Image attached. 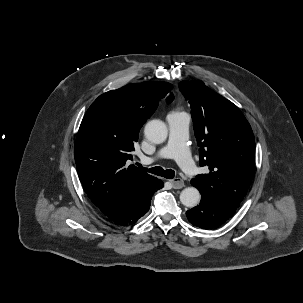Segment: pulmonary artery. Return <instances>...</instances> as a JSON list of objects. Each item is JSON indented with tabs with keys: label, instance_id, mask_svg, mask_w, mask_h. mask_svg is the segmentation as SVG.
<instances>
[{
	"label": "pulmonary artery",
	"instance_id": "e3ab8cb5",
	"mask_svg": "<svg viewBox=\"0 0 303 303\" xmlns=\"http://www.w3.org/2000/svg\"><path fill=\"white\" fill-rule=\"evenodd\" d=\"M189 121V116L185 113H170L167 116L169 128L167 144L157 152L155 157L143 158V161L145 163H151L157 158H171L174 159L187 174H196L198 169L187 146Z\"/></svg>",
	"mask_w": 303,
	"mask_h": 303
}]
</instances>
